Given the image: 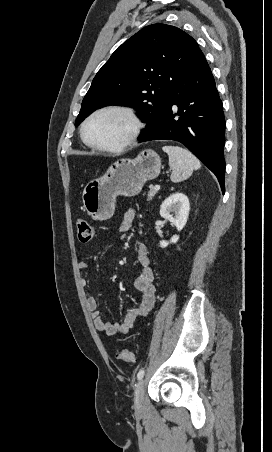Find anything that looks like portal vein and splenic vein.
<instances>
[{
    "instance_id": "18ae733b",
    "label": "portal vein and splenic vein",
    "mask_w": 272,
    "mask_h": 452,
    "mask_svg": "<svg viewBox=\"0 0 272 452\" xmlns=\"http://www.w3.org/2000/svg\"><path fill=\"white\" fill-rule=\"evenodd\" d=\"M153 189H154L155 191H158V190L160 189V185H155V186L153 187Z\"/></svg>"
}]
</instances>
